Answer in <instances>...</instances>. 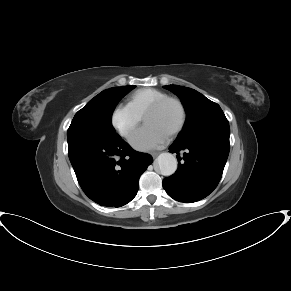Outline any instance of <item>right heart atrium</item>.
I'll return each mask as SVG.
<instances>
[{
    "instance_id": "obj_1",
    "label": "right heart atrium",
    "mask_w": 291,
    "mask_h": 291,
    "mask_svg": "<svg viewBox=\"0 0 291 291\" xmlns=\"http://www.w3.org/2000/svg\"><path fill=\"white\" fill-rule=\"evenodd\" d=\"M139 115L129 104H118L111 116L115 130L123 137L128 138L141 122Z\"/></svg>"
}]
</instances>
